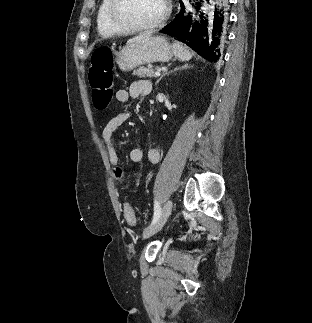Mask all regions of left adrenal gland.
Here are the masks:
<instances>
[{
    "label": "left adrenal gland",
    "mask_w": 312,
    "mask_h": 323,
    "mask_svg": "<svg viewBox=\"0 0 312 323\" xmlns=\"http://www.w3.org/2000/svg\"><path fill=\"white\" fill-rule=\"evenodd\" d=\"M186 68H189L188 64H185V66H182V68H175V70H186ZM190 68H193V66H190ZM174 70V72H175ZM167 72H165V74H163V76H166ZM163 76H161V78H159V80H157L155 86H157V84H159L160 80H162Z\"/></svg>",
    "instance_id": "a2214340"
}]
</instances>
